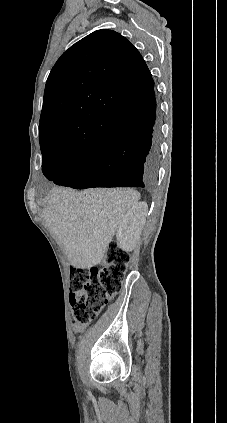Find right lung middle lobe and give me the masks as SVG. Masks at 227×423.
I'll list each match as a JSON object with an SVG mask.
<instances>
[{
	"label": "right lung middle lobe",
	"mask_w": 227,
	"mask_h": 423,
	"mask_svg": "<svg viewBox=\"0 0 227 423\" xmlns=\"http://www.w3.org/2000/svg\"><path fill=\"white\" fill-rule=\"evenodd\" d=\"M43 163L74 160L85 154L86 150L67 147L54 141H40Z\"/></svg>",
	"instance_id": "obj_1"
}]
</instances>
